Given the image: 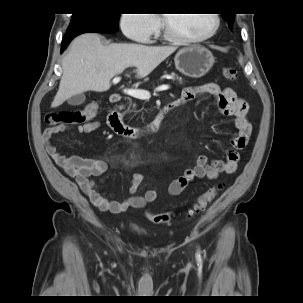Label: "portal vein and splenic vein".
<instances>
[{
	"mask_svg": "<svg viewBox=\"0 0 303 303\" xmlns=\"http://www.w3.org/2000/svg\"><path fill=\"white\" fill-rule=\"evenodd\" d=\"M120 79H121L120 77H115L112 80L113 84L118 83L120 81ZM169 88H170V86L168 84H163V85L158 86L155 89V91H165V90H168ZM124 93L131 97L140 99V100H147L151 97L150 92L147 90H143V89H127V90H124Z\"/></svg>",
	"mask_w": 303,
	"mask_h": 303,
	"instance_id": "obj_1",
	"label": "portal vein and splenic vein"
}]
</instances>
